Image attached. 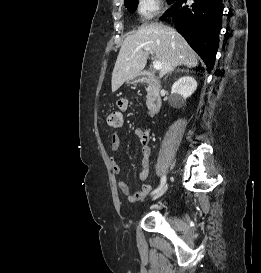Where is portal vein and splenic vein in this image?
Listing matches in <instances>:
<instances>
[{"mask_svg": "<svg viewBox=\"0 0 261 273\" xmlns=\"http://www.w3.org/2000/svg\"><path fill=\"white\" fill-rule=\"evenodd\" d=\"M144 49H145V51H148L153 55V51L150 48L145 47ZM161 67H162V64L155 59V61H153V68L155 70H160Z\"/></svg>", "mask_w": 261, "mask_h": 273, "instance_id": "1", "label": "portal vein and splenic vein"}]
</instances>
